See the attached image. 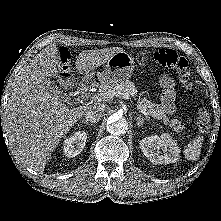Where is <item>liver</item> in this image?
<instances>
[{"instance_id": "obj_1", "label": "liver", "mask_w": 221, "mask_h": 221, "mask_svg": "<svg viewBox=\"0 0 221 221\" xmlns=\"http://www.w3.org/2000/svg\"><path fill=\"white\" fill-rule=\"evenodd\" d=\"M122 48L82 51L76 69L85 81L94 77V69L107 63ZM60 57L56 45L47 46L20 72L6 108L3 126L16 159L42 172L51 152L89 106L67 107L46 87L55 79L64 89L77 85L75 77L58 73Z\"/></svg>"}]
</instances>
